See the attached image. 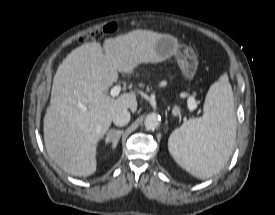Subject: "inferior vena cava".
<instances>
[{
	"label": "inferior vena cava",
	"instance_id": "1",
	"mask_svg": "<svg viewBox=\"0 0 275 215\" xmlns=\"http://www.w3.org/2000/svg\"><path fill=\"white\" fill-rule=\"evenodd\" d=\"M130 112L125 110H121L119 112H117L114 116H113V122L116 126H124L126 124H128V122L130 121Z\"/></svg>",
	"mask_w": 275,
	"mask_h": 215
}]
</instances>
